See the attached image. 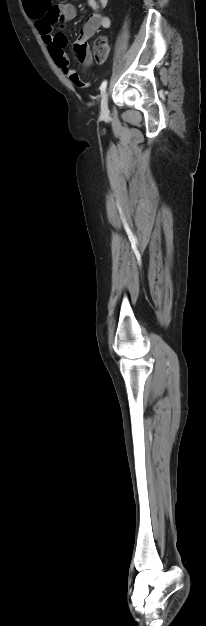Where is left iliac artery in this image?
<instances>
[{
  "instance_id": "1",
  "label": "left iliac artery",
  "mask_w": 206,
  "mask_h": 626,
  "mask_svg": "<svg viewBox=\"0 0 206 626\" xmlns=\"http://www.w3.org/2000/svg\"><path fill=\"white\" fill-rule=\"evenodd\" d=\"M106 87H107V80H104L100 86L101 93L105 91Z\"/></svg>"
}]
</instances>
